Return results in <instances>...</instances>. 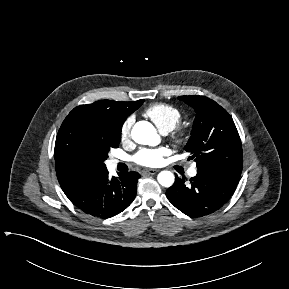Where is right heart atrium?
I'll return each instance as SVG.
<instances>
[{"label":"right heart atrium","instance_id":"d8ad5b80","mask_svg":"<svg viewBox=\"0 0 289 289\" xmlns=\"http://www.w3.org/2000/svg\"><path fill=\"white\" fill-rule=\"evenodd\" d=\"M133 123V116L127 117L122 123L120 128V138L123 142L130 140Z\"/></svg>","mask_w":289,"mask_h":289}]
</instances>
